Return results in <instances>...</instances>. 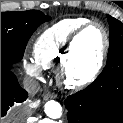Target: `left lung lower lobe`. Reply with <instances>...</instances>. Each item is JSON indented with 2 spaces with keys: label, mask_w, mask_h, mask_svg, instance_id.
I'll list each match as a JSON object with an SVG mask.
<instances>
[{
  "label": "left lung lower lobe",
  "mask_w": 123,
  "mask_h": 123,
  "mask_svg": "<svg viewBox=\"0 0 123 123\" xmlns=\"http://www.w3.org/2000/svg\"><path fill=\"white\" fill-rule=\"evenodd\" d=\"M68 123H123V74L109 81L100 76L65 100Z\"/></svg>",
  "instance_id": "obj_1"
}]
</instances>
